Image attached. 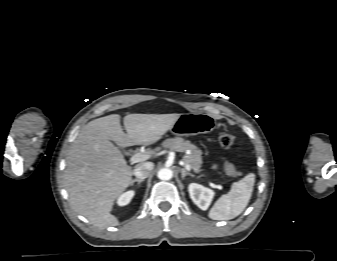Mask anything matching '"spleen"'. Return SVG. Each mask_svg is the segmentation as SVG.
Segmentation results:
<instances>
[{
	"label": "spleen",
	"mask_w": 337,
	"mask_h": 261,
	"mask_svg": "<svg viewBox=\"0 0 337 261\" xmlns=\"http://www.w3.org/2000/svg\"><path fill=\"white\" fill-rule=\"evenodd\" d=\"M254 183V173H249L238 182H234L231 190L214 203L209 211V218L230 220L240 215L250 201Z\"/></svg>",
	"instance_id": "1"
}]
</instances>
